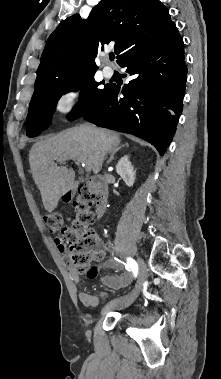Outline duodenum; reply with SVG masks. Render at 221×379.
Segmentation results:
<instances>
[{"label":"duodenum","instance_id":"410a0bca","mask_svg":"<svg viewBox=\"0 0 221 379\" xmlns=\"http://www.w3.org/2000/svg\"><path fill=\"white\" fill-rule=\"evenodd\" d=\"M98 190L102 193L100 199L96 202V212L98 216H101L106 209V185L104 180L99 176H93L85 180L84 182L75 183L73 189L69 191L66 196L71 198L74 193L79 194L82 189Z\"/></svg>","mask_w":221,"mask_h":379}]
</instances>
